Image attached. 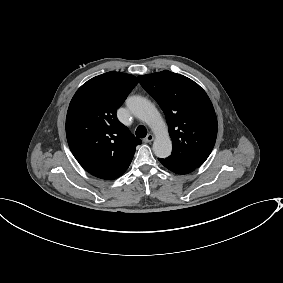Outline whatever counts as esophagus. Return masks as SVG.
Listing matches in <instances>:
<instances>
[{"label":"esophagus","instance_id":"1","mask_svg":"<svg viewBox=\"0 0 283 283\" xmlns=\"http://www.w3.org/2000/svg\"><path fill=\"white\" fill-rule=\"evenodd\" d=\"M154 140V136L152 134H148L144 139L143 141L145 143H148V142H152Z\"/></svg>","mask_w":283,"mask_h":283}]
</instances>
